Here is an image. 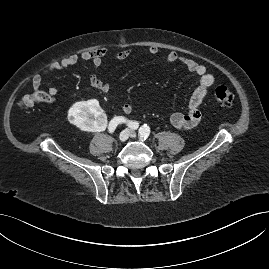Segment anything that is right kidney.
Returning a JSON list of instances; mask_svg holds the SVG:
<instances>
[{
  "instance_id": "obj_1",
  "label": "right kidney",
  "mask_w": 269,
  "mask_h": 269,
  "mask_svg": "<svg viewBox=\"0 0 269 269\" xmlns=\"http://www.w3.org/2000/svg\"><path fill=\"white\" fill-rule=\"evenodd\" d=\"M68 121L85 131H105L108 128L107 118L98 101H83L74 105L67 112Z\"/></svg>"
}]
</instances>
